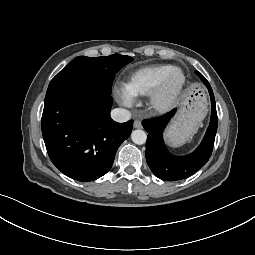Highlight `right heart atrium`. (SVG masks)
Returning <instances> with one entry per match:
<instances>
[{
    "label": "right heart atrium",
    "mask_w": 255,
    "mask_h": 255,
    "mask_svg": "<svg viewBox=\"0 0 255 255\" xmlns=\"http://www.w3.org/2000/svg\"><path fill=\"white\" fill-rule=\"evenodd\" d=\"M116 93L122 102L126 106H131L134 103L135 95L129 90L125 84H120L116 87Z\"/></svg>",
    "instance_id": "d8ad5b80"
}]
</instances>
